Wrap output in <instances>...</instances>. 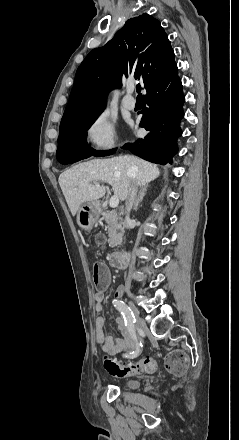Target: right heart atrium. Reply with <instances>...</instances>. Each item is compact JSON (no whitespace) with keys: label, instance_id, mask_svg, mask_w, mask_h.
I'll return each mask as SVG.
<instances>
[{"label":"right heart atrium","instance_id":"1","mask_svg":"<svg viewBox=\"0 0 239 440\" xmlns=\"http://www.w3.org/2000/svg\"><path fill=\"white\" fill-rule=\"evenodd\" d=\"M83 142L93 153L108 152L117 145L116 125L107 112H99L90 119L83 130Z\"/></svg>","mask_w":239,"mask_h":440}]
</instances>
